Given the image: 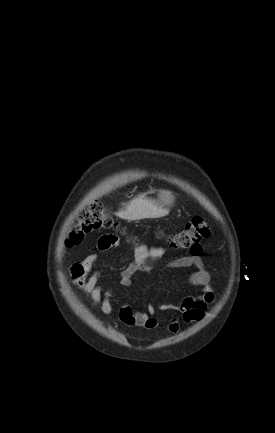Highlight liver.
<instances>
[{"instance_id": "obj_1", "label": "liver", "mask_w": 275, "mask_h": 433, "mask_svg": "<svg viewBox=\"0 0 275 433\" xmlns=\"http://www.w3.org/2000/svg\"><path fill=\"white\" fill-rule=\"evenodd\" d=\"M168 214V210L154 199L140 195L129 202L125 209L120 210L116 215L122 219L133 221L144 218H157Z\"/></svg>"}]
</instances>
